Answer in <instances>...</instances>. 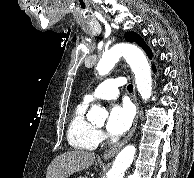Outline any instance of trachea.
Listing matches in <instances>:
<instances>
[{"mask_svg":"<svg viewBox=\"0 0 194 178\" xmlns=\"http://www.w3.org/2000/svg\"><path fill=\"white\" fill-rule=\"evenodd\" d=\"M127 90H128L129 92H132V91H133V85H132V84H129V85L127 86Z\"/></svg>","mask_w":194,"mask_h":178,"instance_id":"3493384b","label":"trachea"}]
</instances>
